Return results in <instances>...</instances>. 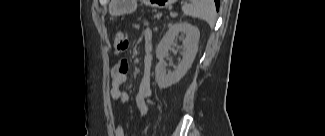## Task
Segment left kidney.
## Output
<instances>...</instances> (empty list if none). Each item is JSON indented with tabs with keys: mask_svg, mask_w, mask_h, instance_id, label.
I'll list each match as a JSON object with an SVG mask.
<instances>
[{
	"mask_svg": "<svg viewBox=\"0 0 325 136\" xmlns=\"http://www.w3.org/2000/svg\"><path fill=\"white\" fill-rule=\"evenodd\" d=\"M185 36L183 43L182 60L173 72H166L164 59L173 45L176 37ZM200 31L197 27L187 23L172 24L156 48V57L159 62L155 67L156 82L160 89H165L179 82L192 66L198 51Z\"/></svg>",
	"mask_w": 325,
	"mask_h": 136,
	"instance_id": "1",
	"label": "left kidney"
}]
</instances>
